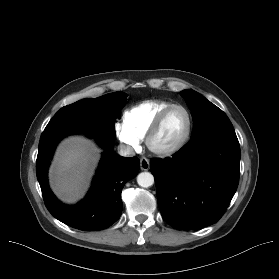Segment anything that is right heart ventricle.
Segmentation results:
<instances>
[{"mask_svg": "<svg viewBox=\"0 0 279 279\" xmlns=\"http://www.w3.org/2000/svg\"><path fill=\"white\" fill-rule=\"evenodd\" d=\"M172 104L165 100L143 101L124 112L122 124L138 139H144L159 113Z\"/></svg>", "mask_w": 279, "mask_h": 279, "instance_id": "right-heart-ventricle-1", "label": "right heart ventricle"}]
</instances>
